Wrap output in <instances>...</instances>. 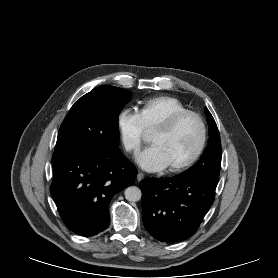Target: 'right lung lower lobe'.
<instances>
[{
	"mask_svg": "<svg viewBox=\"0 0 278 278\" xmlns=\"http://www.w3.org/2000/svg\"><path fill=\"white\" fill-rule=\"evenodd\" d=\"M51 195L65 225L81 236H93L109 224V204L131 186L137 171L118 148L101 147L52 158Z\"/></svg>",
	"mask_w": 278,
	"mask_h": 278,
	"instance_id": "obj_1",
	"label": "right lung lower lobe"
}]
</instances>
